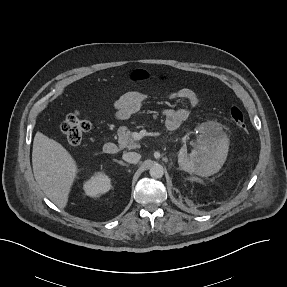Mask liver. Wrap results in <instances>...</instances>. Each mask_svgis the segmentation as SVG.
I'll return each instance as SVG.
<instances>
[{"mask_svg": "<svg viewBox=\"0 0 287 287\" xmlns=\"http://www.w3.org/2000/svg\"><path fill=\"white\" fill-rule=\"evenodd\" d=\"M34 177L44 194L65 208L78 167L72 155L57 141L37 132L33 141Z\"/></svg>", "mask_w": 287, "mask_h": 287, "instance_id": "obj_1", "label": "liver"}]
</instances>
